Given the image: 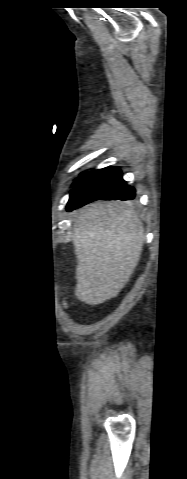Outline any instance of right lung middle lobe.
Listing matches in <instances>:
<instances>
[{
  "label": "right lung middle lobe",
  "mask_w": 187,
  "mask_h": 479,
  "mask_svg": "<svg viewBox=\"0 0 187 479\" xmlns=\"http://www.w3.org/2000/svg\"><path fill=\"white\" fill-rule=\"evenodd\" d=\"M80 178H81V177L77 178L76 181H75V183H76Z\"/></svg>",
  "instance_id": "right-lung-middle-lobe-1"
}]
</instances>
